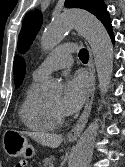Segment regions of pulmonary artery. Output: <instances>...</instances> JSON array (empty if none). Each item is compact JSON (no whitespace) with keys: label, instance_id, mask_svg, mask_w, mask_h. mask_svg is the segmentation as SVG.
Returning <instances> with one entry per match:
<instances>
[{"label":"pulmonary artery","instance_id":"e3ab8cb5","mask_svg":"<svg viewBox=\"0 0 125 167\" xmlns=\"http://www.w3.org/2000/svg\"><path fill=\"white\" fill-rule=\"evenodd\" d=\"M72 43H65L50 53L33 71V78L44 79L53 71L67 68L72 64Z\"/></svg>","mask_w":125,"mask_h":167}]
</instances>
